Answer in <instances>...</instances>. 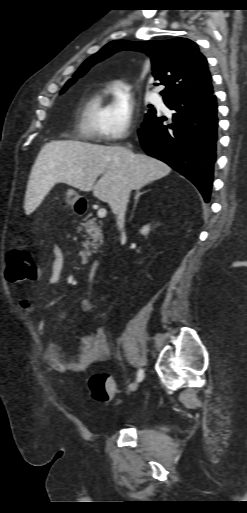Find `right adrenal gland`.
Instances as JSON below:
<instances>
[{"instance_id":"obj_1","label":"right adrenal gland","mask_w":247,"mask_h":513,"mask_svg":"<svg viewBox=\"0 0 247 513\" xmlns=\"http://www.w3.org/2000/svg\"><path fill=\"white\" fill-rule=\"evenodd\" d=\"M146 192H147V191L140 192V190H136V192H135V204H134V210H135V208H136V206H137V204H138L139 197H140L142 194L146 193Z\"/></svg>"}]
</instances>
